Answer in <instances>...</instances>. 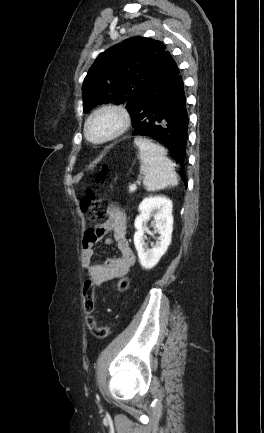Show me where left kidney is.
Returning a JSON list of instances; mask_svg holds the SVG:
<instances>
[{"mask_svg":"<svg viewBox=\"0 0 264 433\" xmlns=\"http://www.w3.org/2000/svg\"><path fill=\"white\" fill-rule=\"evenodd\" d=\"M155 210L156 213H153ZM139 212L140 214L134 222L136 228L134 245L141 266L150 270L157 265L171 243L173 231L172 201L164 196H150L139 204ZM152 216L160 233L159 242L153 248L146 250L144 243L145 224Z\"/></svg>","mask_w":264,"mask_h":433,"instance_id":"5707ae66","label":"left kidney"}]
</instances>
